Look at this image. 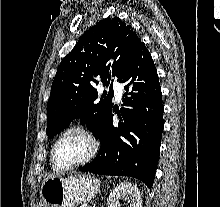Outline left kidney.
I'll use <instances>...</instances> for the list:
<instances>
[{
    "mask_svg": "<svg viewBox=\"0 0 220 207\" xmlns=\"http://www.w3.org/2000/svg\"><path fill=\"white\" fill-rule=\"evenodd\" d=\"M125 201L126 203H121ZM108 207H142V199L139 189L128 182L116 186L107 199Z\"/></svg>",
    "mask_w": 220,
    "mask_h": 207,
    "instance_id": "5707ae66",
    "label": "left kidney"
}]
</instances>
